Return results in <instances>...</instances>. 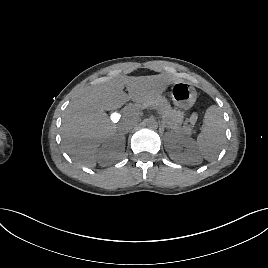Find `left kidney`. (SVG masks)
Returning <instances> with one entry per match:
<instances>
[{"mask_svg":"<svg viewBox=\"0 0 268 268\" xmlns=\"http://www.w3.org/2000/svg\"><path fill=\"white\" fill-rule=\"evenodd\" d=\"M164 146L172 160L185 164H199L202 162L195 142L190 137L172 131L168 132L166 133Z\"/></svg>","mask_w":268,"mask_h":268,"instance_id":"5707ae66","label":"left kidney"}]
</instances>
